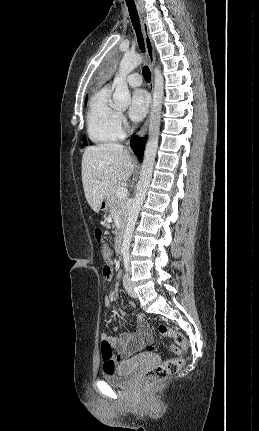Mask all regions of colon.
Wrapping results in <instances>:
<instances>
[{
	"label": "colon",
	"mask_w": 259,
	"mask_h": 431,
	"mask_svg": "<svg viewBox=\"0 0 259 431\" xmlns=\"http://www.w3.org/2000/svg\"><path fill=\"white\" fill-rule=\"evenodd\" d=\"M94 234L97 242L102 244L101 253L105 262L104 267H109L111 270L112 258H111L109 249L103 244L104 232L101 229L96 228ZM158 332L163 337L172 338L176 343V345L182 348L183 350L187 349V343H186L185 337L179 331L169 327L166 324H159ZM147 349L153 350L154 348L152 346H148ZM101 350H102V355H104L105 357H109L112 354V347L106 341L102 342ZM171 351L174 354L180 353V349L176 346L171 347ZM183 363H184V360L180 357H174V358L165 360L160 365H157L145 372L143 376V384L146 387H152L156 385L157 383L163 381L170 375H173L176 372H178V370L182 367ZM114 369L115 368L113 367V365H107L105 366L104 371H114Z\"/></svg>",
	"instance_id": "obj_1"
}]
</instances>
